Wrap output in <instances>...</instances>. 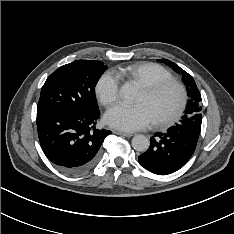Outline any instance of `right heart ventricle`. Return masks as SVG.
<instances>
[{
    "label": "right heart ventricle",
    "mask_w": 234,
    "mask_h": 234,
    "mask_svg": "<svg viewBox=\"0 0 234 234\" xmlns=\"http://www.w3.org/2000/svg\"><path fill=\"white\" fill-rule=\"evenodd\" d=\"M116 73L120 77H128L138 82L142 87L163 80H173V75L164 67L155 63H138L119 68Z\"/></svg>",
    "instance_id": "e07e8e85"
}]
</instances>
